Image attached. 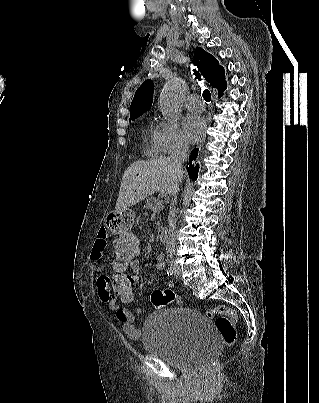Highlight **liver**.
I'll use <instances>...</instances> for the list:
<instances>
[{"label": "liver", "mask_w": 319, "mask_h": 403, "mask_svg": "<svg viewBox=\"0 0 319 403\" xmlns=\"http://www.w3.org/2000/svg\"><path fill=\"white\" fill-rule=\"evenodd\" d=\"M183 173L175 171L169 157L133 162L122 177L116 210L133 206L156 191L169 193L175 180H182Z\"/></svg>", "instance_id": "obj_1"}]
</instances>
